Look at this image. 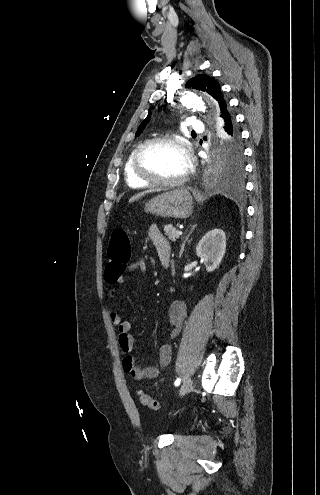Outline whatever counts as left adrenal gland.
Wrapping results in <instances>:
<instances>
[{
  "label": "left adrenal gland",
  "mask_w": 320,
  "mask_h": 495,
  "mask_svg": "<svg viewBox=\"0 0 320 495\" xmlns=\"http://www.w3.org/2000/svg\"><path fill=\"white\" fill-rule=\"evenodd\" d=\"M195 228H196V225H193L192 228H191L190 233L186 236L185 240L183 241V243L181 245L180 256L183 254L185 244L188 241V239L191 236V234L193 233V231L195 230Z\"/></svg>",
  "instance_id": "a2214340"
}]
</instances>
